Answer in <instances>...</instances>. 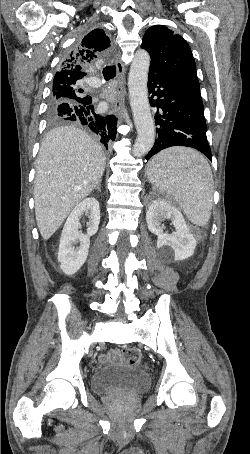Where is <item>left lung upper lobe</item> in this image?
I'll list each match as a JSON object with an SVG mask.
<instances>
[{"instance_id": "left-lung-upper-lobe-1", "label": "left lung upper lobe", "mask_w": 250, "mask_h": 454, "mask_svg": "<svg viewBox=\"0 0 250 454\" xmlns=\"http://www.w3.org/2000/svg\"><path fill=\"white\" fill-rule=\"evenodd\" d=\"M141 47L151 56L150 72L172 79L198 82L196 63L188 43L167 27H150L144 34Z\"/></svg>"}]
</instances>
